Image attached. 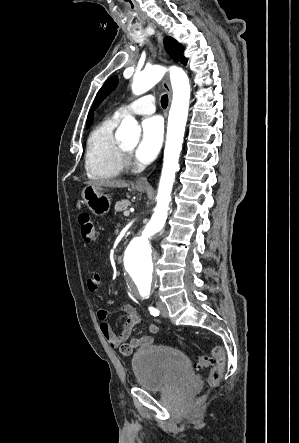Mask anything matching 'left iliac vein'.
<instances>
[{"label":"left iliac vein","mask_w":299,"mask_h":443,"mask_svg":"<svg viewBox=\"0 0 299 443\" xmlns=\"http://www.w3.org/2000/svg\"><path fill=\"white\" fill-rule=\"evenodd\" d=\"M158 308H159L160 313L163 317H165V318L168 317V310H167L166 305L163 302L158 303Z\"/></svg>","instance_id":"4c4485c4"}]
</instances>
